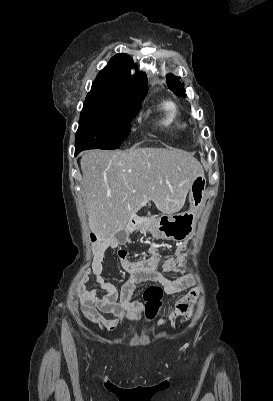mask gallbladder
<instances>
[{"label":"gallbladder","mask_w":273,"mask_h":401,"mask_svg":"<svg viewBox=\"0 0 273 401\" xmlns=\"http://www.w3.org/2000/svg\"><path fill=\"white\" fill-rule=\"evenodd\" d=\"M118 233H116V239H118L119 243H121V245H123V243H127L126 242V228L121 226L118 228Z\"/></svg>","instance_id":"gallbladder-1"}]
</instances>
